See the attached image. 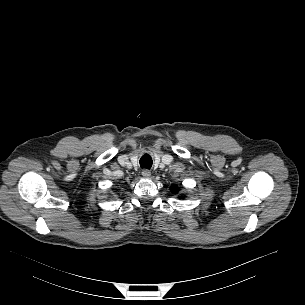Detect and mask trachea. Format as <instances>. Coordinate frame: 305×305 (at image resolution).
Returning a JSON list of instances; mask_svg holds the SVG:
<instances>
[{
	"mask_svg": "<svg viewBox=\"0 0 305 305\" xmlns=\"http://www.w3.org/2000/svg\"><path fill=\"white\" fill-rule=\"evenodd\" d=\"M152 158L150 155L145 154L140 158V166L141 168H146V169H150L152 166Z\"/></svg>",
	"mask_w": 305,
	"mask_h": 305,
	"instance_id": "trachea-1",
	"label": "trachea"
}]
</instances>
